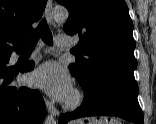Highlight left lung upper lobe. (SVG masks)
<instances>
[{
  "mask_svg": "<svg viewBox=\"0 0 156 124\" xmlns=\"http://www.w3.org/2000/svg\"><path fill=\"white\" fill-rule=\"evenodd\" d=\"M69 11L68 35H79L75 63L69 70L85 90L105 77L136 83L133 23L124 0H57Z\"/></svg>",
  "mask_w": 156,
  "mask_h": 124,
  "instance_id": "1",
  "label": "left lung upper lobe"
}]
</instances>
